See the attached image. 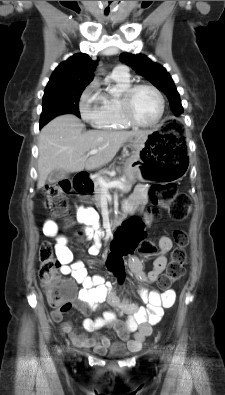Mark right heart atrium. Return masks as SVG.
<instances>
[{
	"label": "right heart atrium",
	"mask_w": 225,
	"mask_h": 395,
	"mask_svg": "<svg viewBox=\"0 0 225 395\" xmlns=\"http://www.w3.org/2000/svg\"><path fill=\"white\" fill-rule=\"evenodd\" d=\"M79 111L84 121L92 125L97 124L100 115V99L95 91V84H90L82 93Z\"/></svg>",
	"instance_id": "d8ad5b80"
}]
</instances>
